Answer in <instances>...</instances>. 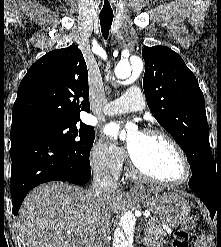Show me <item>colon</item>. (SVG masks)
Listing matches in <instances>:
<instances>
[{"label": "colon", "mask_w": 221, "mask_h": 247, "mask_svg": "<svg viewBox=\"0 0 221 247\" xmlns=\"http://www.w3.org/2000/svg\"><path fill=\"white\" fill-rule=\"evenodd\" d=\"M195 226H196V220L193 218L188 219L185 222L184 226L176 232L172 246L188 247L189 232L193 230Z\"/></svg>", "instance_id": "colon-1"}]
</instances>
